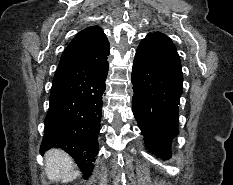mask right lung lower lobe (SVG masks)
I'll return each instance as SVG.
<instances>
[{
  "label": "right lung lower lobe",
  "mask_w": 233,
  "mask_h": 185,
  "mask_svg": "<svg viewBox=\"0 0 233 185\" xmlns=\"http://www.w3.org/2000/svg\"><path fill=\"white\" fill-rule=\"evenodd\" d=\"M107 60L98 65L60 66L55 72L40 151L65 149L87 179L98 153Z\"/></svg>",
  "instance_id": "right-lung-lower-lobe-1"
}]
</instances>
